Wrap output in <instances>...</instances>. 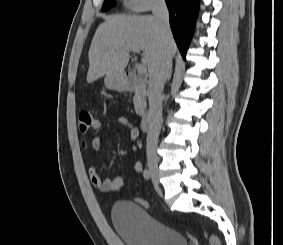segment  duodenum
Returning a JSON list of instances; mask_svg holds the SVG:
<instances>
[{
    "instance_id": "duodenum-1",
    "label": "duodenum",
    "mask_w": 283,
    "mask_h": 245,
    "mask_svg": "<svg viewBox=\"0 0 283 245\" xmlns=\"http://www.w3.org/2000/svg\"><path fill=\"white\" fill-rule=\"evenodd\" d=\"M121 86L125 91L137 92L141 95L145 93L146 89L143 79L131 72L124 75ZM140 127L143 131H147L150 127V115L145 105L140 116Z\"/></svg>"
}]
</instances>
